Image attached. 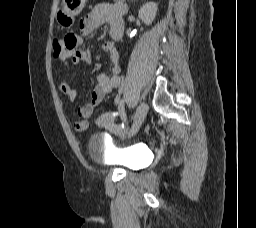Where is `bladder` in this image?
Here are the masks:
<instances>
[{
	"mask_svg": "<svg viewBox=\"0 0 256 228\" xmlns=\"http://www.w3.org/2000/svg\"><path fill=\"white\" fill-rule=\"evenodd\" d=\"M88 152L95 160L116 164L128 170L142 168L146 159V153L141 147H120L98 133L91 135Z\"/></svg>",
	"mask_w": 256,
	"mask_h": 228,
	"instance_id": "obj_1",
	"label": "bladder"
}]
</instances>
